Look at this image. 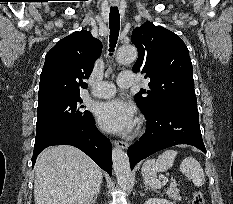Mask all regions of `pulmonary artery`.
Instances as JSON below:
<instances>
[{
	"label": "pulmonary artery",
	"mask_w": 233,
	"mask_h": 204,
	"mask_svg": "<svg viewBox=\"0 0 233 204\" xmlns=\"http://www.w3.org/2000/svg\"><path fill=\"white\" fill-rule=\"evenodd\" d=\"M117 84L121 88H129L133 84V77L129 73H122L118 76ZM114 84L104 81L96 84L91 92L97 98H109L115 94Z\"/></svg>",
	"instance_id": "pulmonary-artery-1"
}]
</instances>
